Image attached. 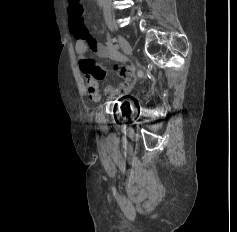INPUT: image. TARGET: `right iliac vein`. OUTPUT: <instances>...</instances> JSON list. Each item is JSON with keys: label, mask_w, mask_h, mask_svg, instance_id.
Segmentation results:
<instances>
[{"label": "right iliac vein", "mask_w": 237, "mask_h": 232, "mask_svg": "<svg viewBox=\"0 0 237 232\" xmlns=\"http://www.w3.org/2000/svg\"><path fill=\"white\" fill-rule=\"evenodd\" d=\"M119 44L124 52L125 55L131 54V46L129 42L121 35H117Z\"/></svg>", "instance_id": "1"}]
</instances>
